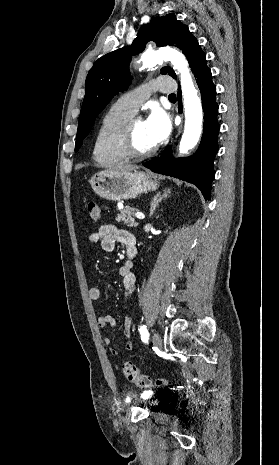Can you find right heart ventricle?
I'll return each instance as SVG.
<instances>
[{"label":"right heart ventricle","mask_w":279,"mask_h":465,"mask_svg":"<svg viewBox=\"0 0 279 465\" xmlns=\"http://www.w3.org/2000/svg\"><path fill=\"white\" fill-rule=\"evenodd\" d=\"M134 113L114 103L103 115L92 149L93 160L99 164H111L120 161L122 157L112 153L109 148L111 136L128 120Z\"/></svg>","instance_id":"obj_1"}]
</instances>
